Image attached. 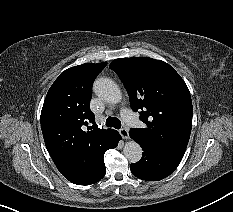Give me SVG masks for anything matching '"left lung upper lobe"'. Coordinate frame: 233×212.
Masks as SVG:
<instances>
[{
    "instance_id": "obj_1",
    "label": "left lung upper lobe",
    "mask_w": 233,
    "mask_h": 212,
    "mask_svg": "<svg viewBox=\"0 0 233 212\" xmlns=\"http://www.w3.org/2000/svg\"><path fill=\"white\" fill-rule=\"evenodd\" d=\"M110 69L122 80L130 105L140 111L145 128L129 135L184 155L192 127L193 107L189 89L167 63L148 57L120 58Z\"/></svg>"
}]
</instances>
